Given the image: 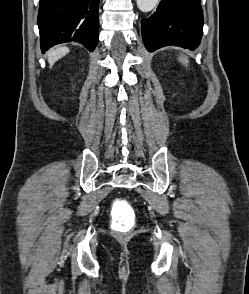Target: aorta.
Here are the masks:
<instances>
[{
    "instance_id": "762f6f07",
    "label": "aorta",
    "mask_w": 249,
    "mask_h": 294,
    "mask_svg": "<svg viewBox=\"0 0 249 294\" xmlns=\"http://www.w3.org/2000/svg\"><path fill=\"white\" fill-rule=\"evenodd\" d=\"M158 2L159 0H136L138 8L142 12H150Z\"/></svg>"
}]
</instances>
